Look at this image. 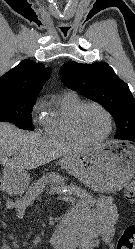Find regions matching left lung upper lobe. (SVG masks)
I'll list each match as a JSON object with an SVG mask.
<instances>
[{
    "label": "left lung upper lobe",
    "mask_w": 135,
    "mask_h": 249,
    "mask_svg": "<svg viewBox=\"0 0 135 249\" xmlns=\"http://www.w3.org/2000/svg\"><path fill=\"white\" fill-rule=\"evenodd\" d=\"M60 75L64 85L84 97L102 104L114 117L116 139L135 138V99L106 62L63 64Z\"/></svg>",
    "instance_id": "left-lung-upper-lobe-1"
}]
</instances>
